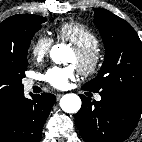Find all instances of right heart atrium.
Returning a JSON list of instances; mask_svg holds the SVG:
<instances>
[{"label": "right heart atrium", "mask_w": 142, "mask_h": 142, "mask_svg": "<svg viewBox=\"0 0 142 142\" xmlns=\"http://www.w3.org/2000/svg\"><path fill=\"white\" fill-rule=\"evenodd\" d=\"M53 44L51 37L47 35H38L30 46V53L34 60L41 62L49 55Z\"/></svg>", "instance_id": "right-heart-atrium-1"}]
</instances>
